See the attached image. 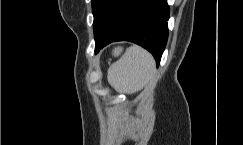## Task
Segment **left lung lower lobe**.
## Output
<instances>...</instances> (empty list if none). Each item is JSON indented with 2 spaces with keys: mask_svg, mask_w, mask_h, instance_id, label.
<instances>
[{
  "mask_svg": "<svg viewBox=\"0 0 243 145\" xmlns=\"http://www.w3.org/2000/svg\"><path fill=\"white\" fill-rule=\"evenodd\" d=\"M167 0H128L106 33L94 31L95 53L113 41L127 40L147 49L159 65L168 38Z\"/></svg>",
  "mask_w": 243,
  "mask_h": 145,
  "instance_id": "obj_1",
  "label": "left lung lower lobe"
}]
</instances>
